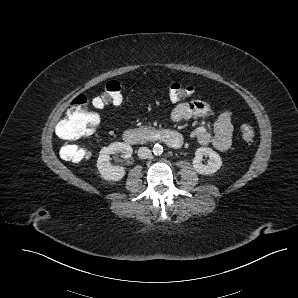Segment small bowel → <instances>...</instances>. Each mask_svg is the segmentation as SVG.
Wrapping results in <instances>:
<instances>
[{
    "mask_svg": "<svg viewBox=\"0 0 298 298\" xmlns=\"http://www.w3.org/2000/svg\"><path fill=\"white\" fill-rule=\"evenodd\" d=\"M215 112L211 104L205 99H195L178 103L171 111L170 117L174 122L188 120L195 117H213ZM192 137L201 145H213L220 151H227L232 145L233 124L232 114L225 110L218 114L213 122V131L207 126L197 127Z\"/></svg>",
    "mask_w": 298,
    "mask_h": 298,
    "instance_id": "obj_1",
    "label": "small bowel"
}]
</instances>
